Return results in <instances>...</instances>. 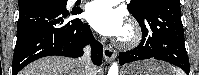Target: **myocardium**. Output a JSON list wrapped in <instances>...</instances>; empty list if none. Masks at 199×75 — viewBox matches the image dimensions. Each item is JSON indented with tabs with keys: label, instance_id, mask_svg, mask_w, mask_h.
Masks as SVG:
<instances>
[{
	"label": "myocardium",
	"instance_id": "myocardium-1",
	"mask_svg": "<svg viewBox=\"0 0 199 75\" xmlns=\"http://www.w3.org/2000/svg\"><path fill=\"white\" fill-rule=\"evenodd\" d=\"M140 39L141 33L139 27L134 22H130L126 26L125 33L118 40V44L122 48H131L136 46L140 42Z\"/></svg>",
	"mask_w": 199,
	"mask_h": 75
}]
</instances>
